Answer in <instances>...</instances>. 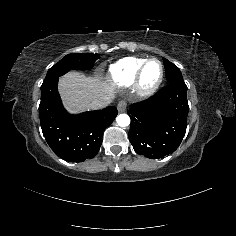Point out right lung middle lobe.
Wrapping results in <instances>:
<instances>
[{"mask_svg":"<svg viewBox=\"0 0 236 236\" xmlns=\"http://www.w3.org/2000/svg\"><path fill=\"white\" fill-rule=\"evenodd\" d=\"M99 58L97 54L78 53L68 54L62 58L57 64L51 67L46 76L53 74L66 73L70 69L90 70L95 61Z\"/></svg>","mask_w":236,"mask_h":236,"instance_id":"right-lung-middle-lobe-1","label":"right lung middle lobe"}]
</instances>
